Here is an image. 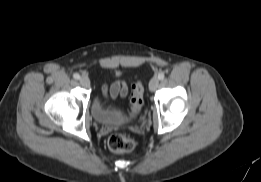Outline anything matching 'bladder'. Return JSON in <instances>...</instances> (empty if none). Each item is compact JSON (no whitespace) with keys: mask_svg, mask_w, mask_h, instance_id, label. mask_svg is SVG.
I'll use <instances>...</instances> for the list:
<instances>
[{"mask_svg":"<svg viewBox=\"0 0 261 182\" xmlns=\"http://www.w3.org/2000/svg\"><path fill=\"white\" fill-rule=\"evenodd\" d=\"M91 110L94 119L101 124H114L123 119L121 107H115L113 109L106 108L101 103V99L98 95L95 96L92 101Z\"/></svg>","mask_w":261,"mask_h":182,"instance_id":"bladder-1","label":"bladder"}]
</instances>
